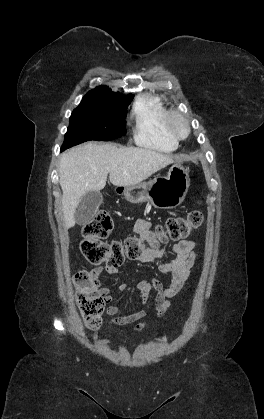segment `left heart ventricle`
<instances>
[{
	"label": "left heart ventricle",
	"instance_id": "obj_1",
	"mask_svg": "<svg viewBox=\"0 0 264 419\" xmlns=\"http://www.w3.org/2000/svg\"><path fill=\"white\" fill-rule=\"evenodd\" d=\"M175 128L179 133H184V127L180 122H175Z\"/></svg>",
	"mask_w": 264,
	"mask_h": 419
}]
</instances>
